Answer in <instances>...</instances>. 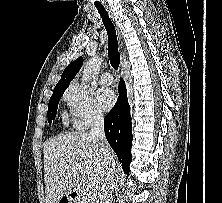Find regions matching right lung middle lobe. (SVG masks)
<instances>
[{"label": "right lung middle lobe", "instance_id": "right-lung-middle-lobe-1", "mask_svg": "<svg viewBox=\"0 0 222 203\" xmlns=\"http://www.w3.org/2000/svg\"><path fill=\"white\" fill-rule=\"evenodd\" d=\"M63 93H64V90L53 92L50 98V101L48 104V113H47L49 123H51V120L55 119L59 99L62 97Z\"/></svg>", "mask_w": 222, "mask_h": 203}]
</instances>
